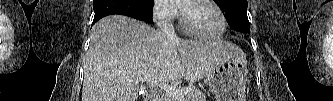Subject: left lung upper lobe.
Wrapping results in <instances>:
<instances>
[{
    "instance_id": "left-lung-upper-lobe-1",
    "label": "left lung upper lobe",
    "mask_w": 333,
    "mask_h": 101,
    "mask_svg": "<svg viewBox=\"0 0 333 101\" xmlns=\"http://www.w3.org/2000/svg\"><path fill=\"white\" fill-rule=\"evenodd\" d=\"M225 12L227 21L233 29L248 33L250 24L247 17V0H214Z\"/></svg>"
}]
</instances>
